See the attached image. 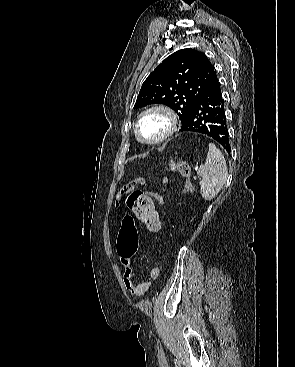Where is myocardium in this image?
<instances>
[{"mask_svg":"<svg viewBox=\"0 0 295 367\" xmlns=\"http://www.w3.org/2000/svg\"><path fill=\"white\" fill-rule=\"evenodd\" d=\"M153 113H159L162 114L167 122H168V127L166 129V131L158 138L156 139H145L141 136L140 130H139V126L140 123L142 121V119H144L146 116L153 114ZM178 128V117L176 115V113L169 107L165 106V105H153L150 106L146 109H144L136 118L135 124H134V132L135 135L137 137V139L147 145H158L161 144L165 141H167L168 139H170L174 133L176 132Z\"/></svg>","mask_w":295,"mask_h":367,"instance_id":"obj_1","label":"myocardium"}]
</instances>
